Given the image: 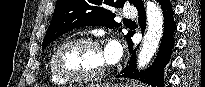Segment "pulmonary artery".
Returning a JSON list of instances; mask_svg holds the SVG:
<instances>
[{
  "instance_id": "e3ab8cb5",
  "label": "pulmonary artery",
  "mask_w": 205,
  "mask_h": 87,
  "mask_svg": "<svg viewBox=\"0 0 205 87\" xmlns=\"http://www.w3.org/2000/svg\"><path fill=\"white\" fill-rule=\"evenodd\" d=\"M135 15V9L132 7H125L123 10V16L125 18H131Z\"/></svg>"
}]
</instances>
